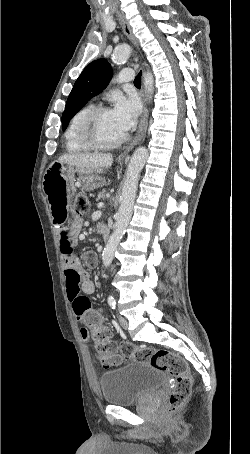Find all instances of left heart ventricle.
<instances>
[{"label":"left heart ventricle","instance_id":"b2bd125f","mask_svg":"<svg viewBox=\"0 0 250 454\" xmlns=\"http://www.w3.org/2000/svg\"><path fill=\"white\" fill-rule=\"evenodd\" d=\"M95 131L98 138L103 142H111L124 135V132L117 126L111 111L103 113L97 119Z\"/></svg>","mask_w":250,"mask_h":454}]
</instances>
